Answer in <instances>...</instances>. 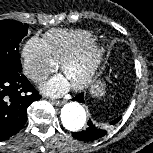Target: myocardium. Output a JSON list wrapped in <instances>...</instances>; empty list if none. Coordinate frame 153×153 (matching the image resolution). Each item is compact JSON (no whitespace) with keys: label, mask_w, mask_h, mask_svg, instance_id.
I'll list each match as a JSON object with an SVG mask.
<instances>
[{"label":"myocardium","mask_w":153,"mask_h":153,"mask_svg":"<svg viewBox=\"0 0 153 153\" xmlns=\"http://www.w3.org/2000/svg\"><path fill=\"white\" fill-rule=\"evenodd\" d=\"M104 54V47L93 42L62 62L61 69L64 74L74 66L83 68V75L80 80L71 84L74 90H83L90 85L100 67Z\"/></svg>","instance_id":"myocardium-1"}]
</instances>
